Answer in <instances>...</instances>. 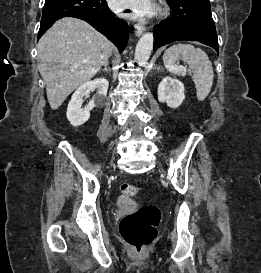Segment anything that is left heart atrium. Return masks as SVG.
Instances as JSON below:
<instances>
[{"mask_svg": "<svg viewBox=\"0 0 261 273\" xmlns=\"http://www.w3.org/2000/svg\"><path fill=\"white\" fill-rule=\"evenodd\" d=\"M111 7L118 12H127L133 18H145L153 14V0H110Z\"/></svg>", "mask_w": 261, "mask_h": 273, "instance_id": "left-heart-atrium-1", "label": "left heart atrium"}]
</instances>
